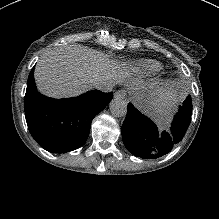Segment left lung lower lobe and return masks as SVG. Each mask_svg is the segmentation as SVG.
I'll list each match as a JSON object with an SVG mask.
<instances>
[{"label": "left lung lower lobe", "instance_id": "obj_1", "mask_svg": "<svg viewBox=\"0 0 219 219\" xmlns=\"http://www.w3.org/2000/svg\"><path fill=\"white\" fill-rule=\"evenodd\" d=\"M192 109L181 106L170 130L163 131L131 103L122 125V139L126 148L135 156L158 158L170 152L182 140L191 121Z\"/></svg>", "mask_w": 219, "mask_h": 219}]
</instances>
